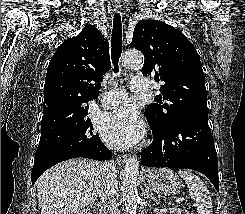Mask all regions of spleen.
<instances>
[{"label":"spleen","mask_w":245,"mask_h":214,"mask_svg":"<svg viewBox=\"0 0 245 214\" xmlns=\"http://www.w3.org/2000/svg\"><path fill=\"white\" fill-rule=\"evenodd\" d=\"M178 174L185 180L190 195L197 204V213L213 214L212 199L205 183L187 170H179Z\"/></svg>","instance_id":"obj_1"}]
</instances>
